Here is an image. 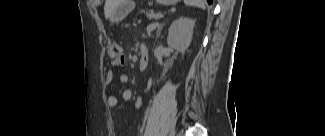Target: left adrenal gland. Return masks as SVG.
<instances>
[{
  "mask_svg": "<svg viewBox=\"0 0 325 136\" xmlns=\"http://www.w3.org/2000/svg\"><path fill=\"white\" fill-rule=\"evenodd\" d=\"M162 26H163V24H161V25L158 26V28H157V36L160 35V31L162 29Z\"/></svg>",
  "mask_w": 325,
  "mask_h": 136,
  "instance_id": "a2214340",
  "label": "left adrenal gland"
}]
</instances>
